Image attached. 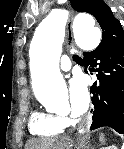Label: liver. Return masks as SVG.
<instances>
[{
  "instance_id": "obj_1",
  "label": "liver",
  "mask_w": 124,
  "mask_h": 149,
  "mask_svg": "<svg viewBox=\"0 0 124 149\" xmlns=\"http://www.w3.org/2000/svg\"><path fill=\"white\" fill-rule=\"evenodd\" d=\"M53 140L51 139H31L27 142L25 149H52Z\"/></svg>"
}]
</instances>
